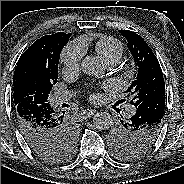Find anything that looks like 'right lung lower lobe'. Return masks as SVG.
I'll return each instance as SVG.
<instances>
[{"label": "right lung lower lobe", "mask_w": 184, "mask_h": 184, "mask_svg": "<svg viewBox=\"0 0 184 184\" xmlns=\"http://www.w3.org/2000/svg\"><path fill=\"white\" fill-rule=\"evenodd\" d=\"M19 129L35 152L49 150L62 141L69 124L63 115L56 113L48 102L43 104L22 102L15 105Z\"/></svg>", "instance_id": "1"}]
</instances>
